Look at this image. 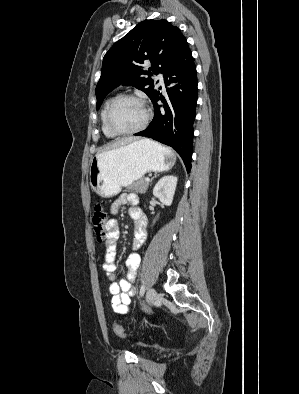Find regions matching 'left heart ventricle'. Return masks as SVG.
I'll list each match as a JSON object with an SVG mask.
<instances>
[{
	"instance_id": "b2bd125f",
	"label": "left heart ventricle",
	"mask_w": 299,
	"mask_h": 394,
	"mask_svg": "<svg viewBox=\"0 0 299 394\" xmlns=\"http://www.w3.org/2000/svg\"><path fill=\"white\" fill-rule=\"evenodd\" d=\"M144 116V107L138 101L124 99L114 106L111 113V123L117 130H132L142 123Z\"/></svg>"
}]
</instances>
